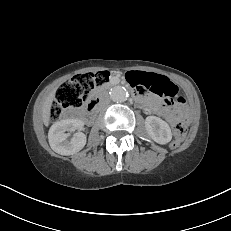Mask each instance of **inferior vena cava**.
Segmentation results:
<instances>
[{"label":"inferior vena cava","instance_id":"602c4592","mask_svg":"<svg viewBox=\"0 0 231 231\" xmlns=\"http://www.w3.org/2000/svg\"><path fill=\"white\" fill-rule=\"evenodd\" d=\"M109 103H110V99L108 97H104L102 102L100 103V107L104 108V107L108 106Z\"/></svg>","mask_w":231,"mask_h":231}]
</instances>
